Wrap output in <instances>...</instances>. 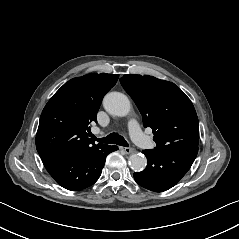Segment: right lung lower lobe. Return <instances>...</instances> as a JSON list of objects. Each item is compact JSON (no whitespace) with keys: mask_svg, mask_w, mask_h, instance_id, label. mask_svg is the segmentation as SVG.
<instances>
[{"mask_svg":"<svg viewBox=\"0 0 239 239\" xmlns=\"http://www.w3.org/2000/svg\"><path fill=\"white\" fill-rule=\"evenodd\" d=\"M117 146L99 144L85 151L41 157L49 174L67 190H82L93 185L101 175L106 156Z\"/></svg>","mask_w":239,"mask_h":239,"instance_id":"obj_1","label":"right lung lower lobe"}]
</instances>
